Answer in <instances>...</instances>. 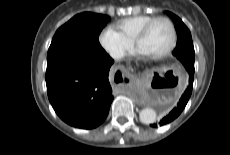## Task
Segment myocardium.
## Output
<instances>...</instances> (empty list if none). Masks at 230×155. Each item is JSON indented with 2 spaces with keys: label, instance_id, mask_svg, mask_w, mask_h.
Here are the masks:
<instances>
[{
  "label": "myocardium",
  "instance_id": "f54148a6",
  "mask_svg": "<svg viewBox=\"0 0 230 155\" xmlns=\"http://www.w3.org/2000/svg\"><path fill=\"white\" fill-rule=\"evenodd\" d=\"M158 21H165L169 24L170 29H171V41L166 50H164L161 53L155 54V55H150L149 57H151L152 59H162V58L169 56L174 50L176 43H177V30H176V26L174 22L168 17L159 16V17H155L152 20H150L141 28L136 38L134 39L135 46L138 47L140 41L147 35L152 25Z\"/></svg>",
  "mask_w": 230,
  "mask_h": 155
}]
</instances>
